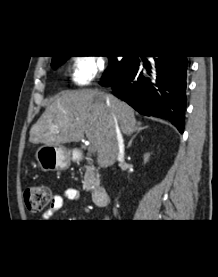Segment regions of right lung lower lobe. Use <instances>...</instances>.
I'll return each instance as SVG.
<instances>
[{
	"label": "right lung lower lobe",
	"mask_w": 218,
	"mask_h": 277,
	"mask_svg": "<svg viewBox=\"0 0 218 277\" xmlns=\"http://www.w3.org/2000/svg\"><path fill=\"white\" fill-rule=\"evenodd\" d=\"M140 57H134L110 83L112 93L141 114L168 119L183 133L187 56H153L151 61Z\"/></svg>",
	"instance_id": "obj_1"
}]
</instances>
